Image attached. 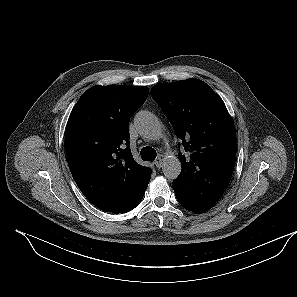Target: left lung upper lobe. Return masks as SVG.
<instances>
[{
    "mask_svg": "<svg viewBox=\"0 0 297 297\" xmlns=\"http://www.w3.org/2000/svg\"><path fill=\"white\" fill-rule=\"evenodd\" d=\"M151 96L190 153L178 154L179 203L187 210L211 208L228 187L236 158L235 126L224 102L195 78L157 84Z\"/></svg>",
    "mask_w": 297,
    "mask_h": 297,
    "instance_id": "1",
    "label": "left lung upper lobe"
}]
</instances>
